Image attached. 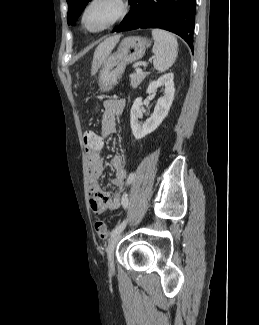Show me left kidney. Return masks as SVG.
Instances as JSON below:
<instances>
[{"label":"left kidney","mask_w":259,"mask_h":325,"mask_svg":"<svg viewBox=\"0 0 259 325\" xmlns=\"http://www.w3.org/2000/svg\"><path fill=\"white\" fill-rule=\"evenodd\" d=\"M173 79V73H167L160 77L157 81H152L149 84L146 90V93L148 94H154L161 86H164L165 88L164 96L158 99L153 114L149 119L146 120V122L141 123L139 121V119L143 116L141 110L143 105L142 98L139 97L134 101L130 111V125L136 139H142L146 135L155 131L167 116L175 93Z\"/></svg>","instance_id":"left-kidney-1"}]
</instances>
